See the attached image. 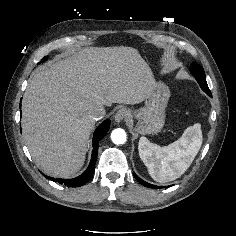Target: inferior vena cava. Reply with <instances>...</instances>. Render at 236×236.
I'll list each match as a JSON object with an SVG mask.
<instances>
[{"instance_id":"602c4592","label":"inferior vena cava","mask_w":236,"mask_h":236,"mask_svg":"<svg viewBox=\"0 0 236 236\" xmlns=\"http://www.w3.org/2000/svg\"><path fill=\"white\" fill-rule=\"evenodd\" d=\"M105 114V109L102 107H95L90 110V117L96 121L102 119Z\"/></svg>"}]
</instances>
